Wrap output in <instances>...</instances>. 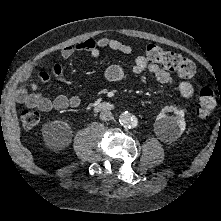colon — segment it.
<instances>
[{
  "instance_id": "obj_1",
  "label": "colon",
  "mask_w": 221,
  "mask_h": 221,
  "mask_svg": "<svg viewBox=\"0 0 221 221\" xmlns=\"http://www.w3.org/2000/svg\"><path fill=\"white\" fill-rule=\"evenodd\" d=\"M147 59L159 64L166 70L175 71L183 78H192L196 74L195 63L182 55L165 50L157 44H149L146 48ZM216 107V96L209 87H204L199 92L198 114L208 117ZM21 123L26 129H33L39 123V115L35 111L26 110L21 114Z\"/></svg>"
}]
</instances>
